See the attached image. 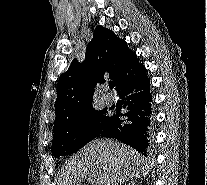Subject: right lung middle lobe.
<instances>
[{"mask_svg":"<svg viewBox=\"0 0 207 185\" xmlns=\"http://www.w3.org/2000/svg\"><path fill=\"white\" fill-rule=\"evenodd\" d=\"M112 119V112L104 108L86 112L54 128L52 154L59 158L77 152L98 136L103 127Z\"/></svg>","mask_w":207,"mask_h":185,"instance_id":"obj_1","label":"right lung middle lobe"}]
</instances>
